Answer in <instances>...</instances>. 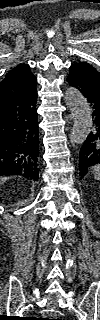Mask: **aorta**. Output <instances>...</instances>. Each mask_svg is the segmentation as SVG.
Here are the masks:
<instances>
[{"label": "aorta", "mask_w": 100, "mask_h": 320, "mask_svg": "<svg viewBox=\"0 0 100 320\" xmlns=\"http://www.w3.org/2000/svg\"><path fill=\"white\" fill-rule=\"evenodd\" d=\"M65 100L73 116L71 140L74 144H82L90 133L92 113L89 105L79 90L68 87Z\"/></svg>", "instance_id": "1"}]
</instances>
